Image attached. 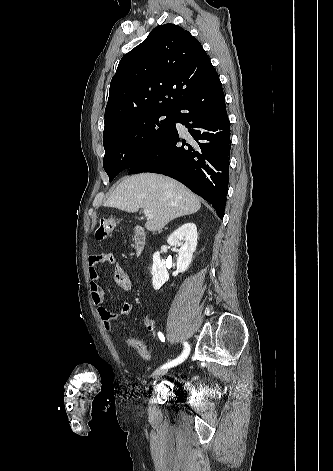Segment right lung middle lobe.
Instances as JSON below:
<instances>
[{
  "label": "right lung middle lobe",
  "mask_w": 333,
  "mask_h": 471,
  "mask_svg": "<svg viewBox=\"0 0 333 471\" xmlns=\"http://www.w3.org/2000/svg\"><path fill=\"white\" fill-rule=\"evenodd\" d=\"M174 112L147 110L112 123L103 133L104 170L113 181L172 127Z\"/></svg>",
  "instance_id": "1"
}]
</instances>
